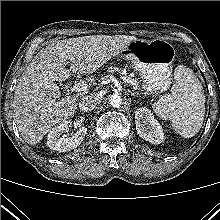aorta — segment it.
Returning <instances> with one entry per match:
<instances>
[{
    "mask_svg": "<svg viewBox=\"0 0 220 220\" xmlns=\"http://www.w3.org/2000/svg\"><path fill=\"white\" fill-rule=\"evenodd\" d=\"M109 102L112 107L119 108L122 105V98L119 94H113L111 95Z\"/></svg>",
    "mask_w": 220,
    "mask_h": 220,
    "instance_id": "1",
    "label": "aorta"
}]
</instances>
